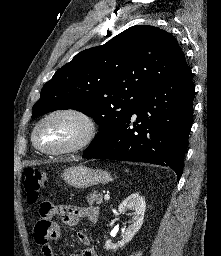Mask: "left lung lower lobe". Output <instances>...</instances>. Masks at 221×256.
Segmentation results:
<instances>
[{
	"mask_svg": "<svg viewBox=\"0 0 221 256\" xmlns=\"http://www.w3.org/2000/svg\"><path fill=\"white\" fill-rule=\"evenodd\" d=\"M194 93L185 64L151 89L123 123L101 135L82 157L168 166L179 179L193 119ZM135 114L136 122L130 128Z\"/></svg>",
	"mask_w": 221,
	"mask_h": 256,
	"instance_id": "obj_1",
	"label": "left lung lower lobe"
}]
</instances>
